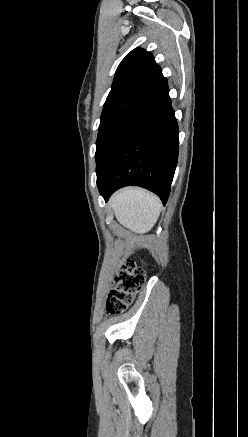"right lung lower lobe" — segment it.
<instances>
[{"label":"right lung lower lobe","mask_w":248,"mask_h":437,"mask_svg":"<svg viewBox=\"0 0 248 437\" xmlns=\"http://www.w3.org/2000/svg\"><path fill=\"white\" fill-rule=\"evenodd\" d=\"M178 134L161 74L138 95L97 161V185L105 201L117 189L135 185L156 193L165 205L177 165Z\"/></svg>","instance_id":"right-lung-lower-lobe-1"}]
</instances>
